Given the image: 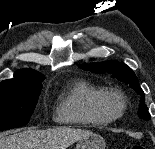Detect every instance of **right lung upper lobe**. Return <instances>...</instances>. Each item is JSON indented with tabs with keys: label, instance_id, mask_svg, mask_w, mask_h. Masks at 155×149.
I'll list each match as a JSON object with an SVG mask.
<instances>
[{
	"label": "right lung upper lobe",
	"instance_id": "1",
	"mask_svg": "<svg viewBox=\"0 0 155 149\" xmlns=\"http://www.w3.org/2000/svg\"><path fill=\"white\" fill-rule=\"evenodd\" d=\"M43 76L35 70L31 69H21L14 74L13 79L4 80L5 81H33L42 78Z\"/></svg>",
	"mask_w": 155,
	"mask_h": 149
}]
</instances>
